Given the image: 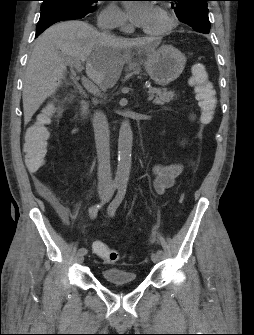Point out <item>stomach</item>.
I'll return each instance as SVG.
<instances>
[{
  "instance_id": "stomach-1",
  "label": "stomach",
  "mask_w": 254,
  "mask_h": 335,
  "mask_svg": "<svg viewBox=\"0 0 254 335\" xmlns=\"http://www.w3.org/2000/svg\"><path fill=\"white\" fill-rule=\"evenodd\" d=\"M186 57L171 45H163L146 54L144 67L149 77L160 86L175 81L183 72Z\"/></svg>"
}]
</instances>
